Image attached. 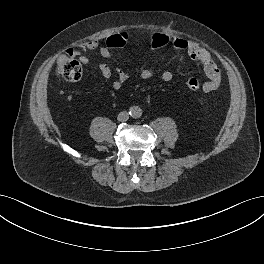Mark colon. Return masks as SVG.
I'll return each mask as SVG.
<instances>
[{
    "mask_svg": "<svg viewBox=\"0 0 264 264\" xmlns=\"http://www.w3.org/2000/svg\"><path fill=\"white\" fill-rule=\"evenodd\" d=\"M129 41V35L125 31L112 34L106 39L105 45L110 50L123 48ZM170 42V37L162 32H155L151 35L150 45L153 50L165 47ZM58 77L65 81H78L82 77V67L80 63L72 57L71 53L61 55L56 64ZM186 87L191 91L205 89V84L198 78L192 77L186 81Z\"/></svg>",
    "mask_w": 264,
    "mask_h": 264,
    "instance_id": "colon-1",
    "label": "colon"
}]
</instances>
